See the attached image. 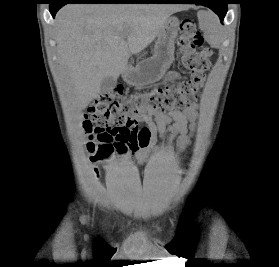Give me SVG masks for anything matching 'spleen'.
<instances>
[{"label":"spleen","mask_w":279,"mask_h":267,"mask_svg":"<svg viewBox=\"0 0 279 267\" xmlns=\"http://www.w3.org/2000/svg\"><path fill=\"white\" fill-rule=\"evenodd\" d=\"M199 24L206 38L212 46H218L221 41L219 22L210 11H202L199 16Z\"/></svg>","instance_id":"1"}]
</instances>
